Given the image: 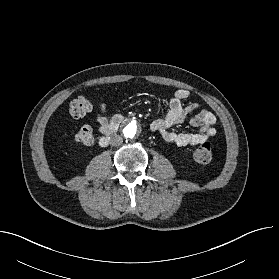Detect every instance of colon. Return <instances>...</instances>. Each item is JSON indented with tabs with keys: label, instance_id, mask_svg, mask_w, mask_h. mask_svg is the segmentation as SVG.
Listing matches in <instances>:
<instances>
[{
	"label": "colon",
	"instance_id": "5ec220e1",
	"mask_svg": "<svg viewBox=\"0 0 279 279\" xmlns=\"http://www.w3.org/2000/svg\"><path fill=\"white\" fill-rule=\"evenodd\" d=\"M92 102L79 97L73 100L69 106V116L74 119H80L89 113L92 109ZM94 140L93 132L90 127H82L75 135L74 141L78 145L89 146ZM194 159L201 164H207L212 160V150L209 142L202 143L194 152Z\"/></svg>",
	"mask_w": 279,
	"mask_h": 279
}]
</instances>
